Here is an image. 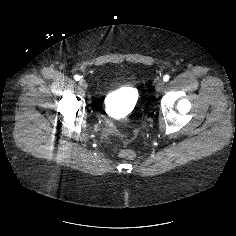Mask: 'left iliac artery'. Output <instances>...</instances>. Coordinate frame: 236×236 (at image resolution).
<instances>
[{"label": "left iliac artery", "instance_id": "44dca946", "mask_svg": "<svg viewBox=\"0 0 236 236\" xmlns=\"http://www.w3.org/2000/svg\"><path fill=\"white\" fill-rule=\"evenodd\" d=\"M169 79H170V76H169V75H165V76L163 77V80H164L165 82H167Z\"/></svg>", "mask_w": 236, "mask_h": 236}]
</instances>
